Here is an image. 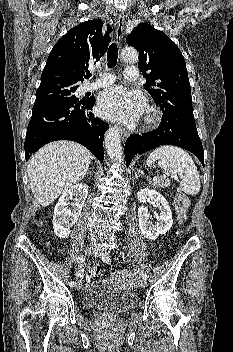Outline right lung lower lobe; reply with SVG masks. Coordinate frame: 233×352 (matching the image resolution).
I'll list each match as a JSON object with an SVG mask.
<instances>
[{
  "instance_id": "obj_1",
  "label": "right lung lower lobe",
  "mask_w": 233,
  "mask_h": 352,
  "mask_svg": "<svg viewBox=\"0 0 233 352\" xmlns=\"http://www.w3.org/2000/svg\"><path fill=\"white\" fill-rule=\"evenodd\" d=\"M94 102L95 98L90 97L34 105L24 145L26 160L49 142L71 140L88 148L102 162L103 138L109 125L91 112Z\"/></svg>"
}]
</instances>
